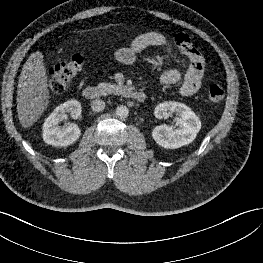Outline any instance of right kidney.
Listing matches in <instances>:
<instances>
[{"label":"right kidney","instance_id":"ca27d5eb","mask_svg":"<svg viewBox=\"0 0 263 263\" xmlns=\"http://www.w3.org/2000/svg\"><path fill=\"white\" fill-rule=\"evenodd\" d=\"M68 114L78 119L81 115L80 102L77 100L64 102L48 116L42 127V137L45 143L55 147H66L79 139L81 130L76 124L65 123L59 126V123L67 118Z\"/></svg>","mask_w":263,"mask_h":263}]
</instances>
